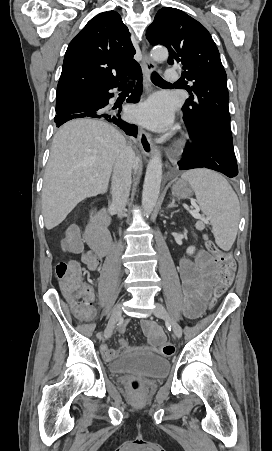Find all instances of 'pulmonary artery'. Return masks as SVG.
Listing matches in <instances>:
<instances>
[{
    "instance_id": "obj_1",
    "label": "pulmonary artery",
    "mask_w": 272,
    "mask_h": 451,
    "mask_svg": "<svg viewBox=\"0 0 272 451\" xmlns=\"http://www.w3.org/2000/svg\"><path fill=\"white\" fill-rule=\"evenodd\" d=\"M176 70H177L176 67L172 65L169 67L168 70L164 72V77L166 79H169V81H171L173 84H176L179 78Z\"/></svg>"
}]
</instances>
